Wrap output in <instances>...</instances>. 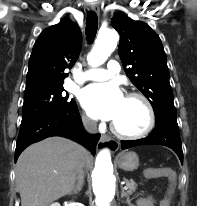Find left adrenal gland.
Segmentation results:
<instances>
[{
	"label": "left adrenal gland",
	"mask_w": 197,
	"mask_h": 206,
	"mask_svg": "<svg viewBox=\"0 0 197 206\" xmlns=\"http://www.w3.org/2000/svg\"><path fill=\"white\" fill-rule=\"evenodd\" d=\"M126 197V203L130 205V198L129 195L124 191L123 188H121V198Z\"/></svg>",
	"instance_id": "obj_1"
}]
</instances>
